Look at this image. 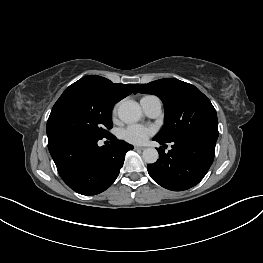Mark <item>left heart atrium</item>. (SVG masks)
<instances>
[{"instance_id":"1","label":"left heart atrium","mask_w":263,"mask_h":263,"mask_svg":"<svg viewBox=\"0 0 263 263\" xmlns=\"http://www.w3.org/2000/svg\"><path fill=\"white\" fill-rule=\"evenodd\" d=\"M153 133V129L133 124L126 127L122 132V137L125 141L132 144H142L144 143L148 137Z\"/></svg>"}]
</instances>
